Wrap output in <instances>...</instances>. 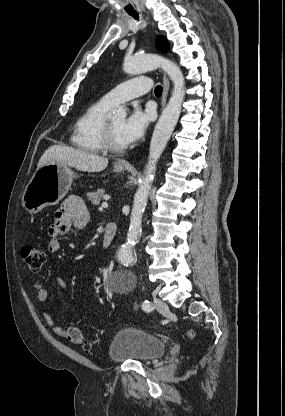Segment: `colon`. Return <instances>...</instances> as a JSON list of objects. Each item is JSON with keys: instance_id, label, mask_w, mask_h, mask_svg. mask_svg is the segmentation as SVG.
I'll return each mask as SVG.
<instances>
[{"instance_id": "colon-1", "label": "colon", "mask_w": 285, "mask_h": 416, "mask_svg": "<svg viewBox=\"0 0 285 416\" xmlns=\"http://www.w3.org/2000/svg\"><path fill=\"white\" fill-rule=\"evenodd\" d=\"M21 257L28 269L33 273L39 272L46 262V253L42 249L31 245H26L21 249ZM66 338L69 342L85 351H89L92 348V343L76 325H69L67 327Z\"/></svg>"}]
</instances>
